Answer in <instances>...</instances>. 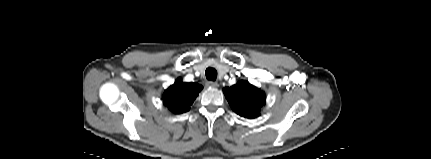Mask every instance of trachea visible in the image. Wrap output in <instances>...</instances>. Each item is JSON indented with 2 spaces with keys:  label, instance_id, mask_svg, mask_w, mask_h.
I'll list each match as a JSON object with an SVG mask.
<instances>
[{
  "label": "trachea",
  "instance_id": "1",
  "mask_svg": "<svg viewBox=\"0 0 431 159\" xmlns=\"http://www.w3.org/2000/svg\"><path fill=\"white\" fill-rule=\"evenodd\" d=\"M205 74L208 80H211V81L216 80L217 71L215 70V68H212V67L207 68L205 71Z\"/></svg>",
  "mask_w": 431,
  "mask_h": 159
}]
</instances>
